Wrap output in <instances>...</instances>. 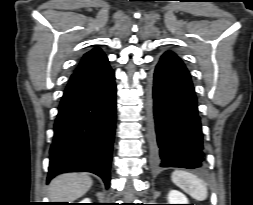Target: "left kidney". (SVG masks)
<instances>
[{
  "mask_svg": "<svg viewBox=\"0 0 253 205\" xmlns=\"http://www.w3.org/2000/svg\"><path fill=\"white\" fill-rule=\"evenodd\" d=\"M168 204H189L187 197L177 191V190H171L168 194Z\"/></svg>",
  "mask_w": 253,
  "mask_h": 205,
  "instance_id": "left-kidney-1",
  "label": "left kidney"
}]
</instances>
